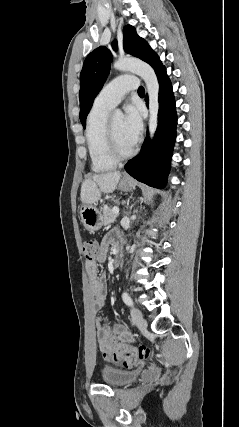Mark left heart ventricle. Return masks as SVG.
<instances>
[{"label": "left heart ventricle", "mask_w": 239, "mask_h": 427, "mask_svg": "<svg viewBox=\"0 0 239 427\" xmlns=\"http://www.w3.org/2000/svg\"><path fill=\"white\" fill-rule=\"evenodd\" d=\"M116 143L121 152L130 151L134 145L128 140L123 130L122 117H115L111 120Z\"/></svg>", "instance_id": "left-heart-ventricle-1"}]
</instances>
